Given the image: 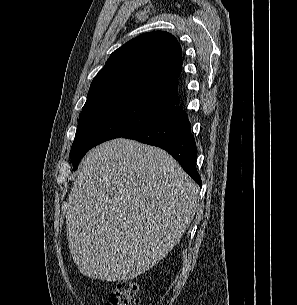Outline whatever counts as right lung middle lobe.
<instances>
[{
  "label": "right lung middle lobe",
  "instance_id": "obj_1",
  "mask_svg": "<svg viewBox=\"0 0 297 305\" xmlns=\"http://www.w3.org/2000/svg\"><path fill=\"white\" fill-rule=\"evenodd\" d=\"M174 107L173 104L141 96L107 99L83 107L69 154L73 170L94 146L127 134L151 123Z\"/></svg>",
  "mask_w": 297,
  "mask_h": 305
}]
</instances>
